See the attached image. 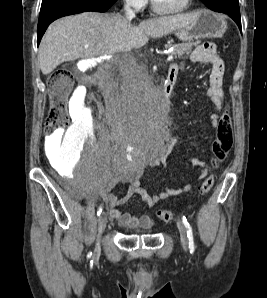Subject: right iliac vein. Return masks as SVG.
I'll list each match as a JSON object with an SVG mask.
<instances>
[{"label": "right iliac vein", "instance_id": "obj_1", "mask_svg": "<svg viewBox=\"0 0 267 298\" xmlns=\"http://www.w3.org/2000/svg\"><path fill=\"white\" fill-rule=\"evenodd\" d=\"M107 224V217L105 213H102L98 218V239L94 249V257L98 256L100 253V236L104 232Z\"/></svg>", "mask_w": 267, "mask_h": 298}]
</instances>
